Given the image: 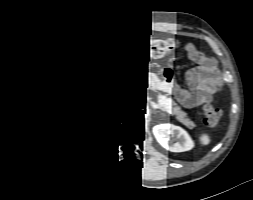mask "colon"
<instances>
[{
  "mask_svg": "<svg viewBox=\"0 0 253 200\" xmlns=\"http://www.w3.org/2000/svg\"><path fill=\"white\" fill-rule=\"evenodd\" d=\"M177 47V42L170 40H157L149 38H103L98 43V50L104 54L110 53H143V54H168ZM70 68L77 83L86 85L92 76L91 69L81 54L72 57ZM221 117L219 108L206 104L203 108V121L209 127L218 125Z\"/></svg>",
  "mask_w": 253,
  "mask_h": 200,
  "instance_id": "obj_1",
  "label": "colon"
}]
</instances>
